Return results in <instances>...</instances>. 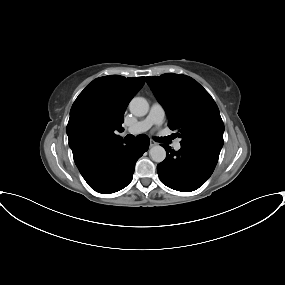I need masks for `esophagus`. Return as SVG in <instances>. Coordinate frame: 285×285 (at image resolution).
<instances>
[{
	"label": "esophagus",
	"instance_id": "obj_1",
	"mask_svg": "<svg viewBox=\"0 0 285 285\" xmlns=\"http://www.w3.org/2000/svg\"><path fill=\"white\" fill-rule=\"evenodd\" d=\"M156 145H157V143H156L155 141L150 140V147H154V146H156Z\"/></svg>",
	"mask_w": 285,
	"mask_h": 285
}]
</instances>
